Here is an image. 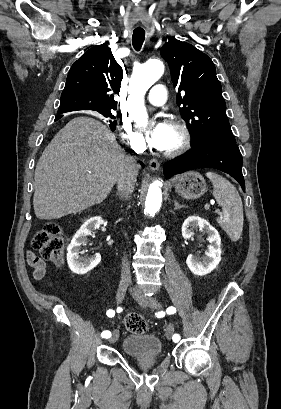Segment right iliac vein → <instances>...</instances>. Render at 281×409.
Listing matches in <instances>:
<instances>
[{
  "instance_id": "1",
  "label": "right iliac vein",
  "mask_w": 281,
  "mask_h": 409,
  "mask_svg": "<svg viewBox=\"0 0 281 409\" xmlns=\"http://www.w3.org/2000/svg\"><path fill=\"white\" fill-rule=\"evenodd\" d=\"M127 288H128V284L124 281H121L117 289V294H116L117 303H121L123 301ZM118 337H119L118 331H114L112 337L108 340L109 343H115L118 340Z\"/></svg>"
}]
</instances>
